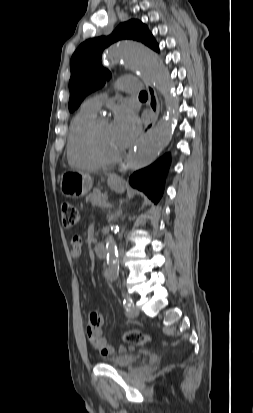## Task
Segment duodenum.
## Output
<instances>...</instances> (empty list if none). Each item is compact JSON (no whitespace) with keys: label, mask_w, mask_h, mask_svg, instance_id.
Here are the masks:
<instances>
[{"label":"duodenum","mask_w":253,"mask_h":413,"mask_svg":"<svg viewBox=\"0 0 253 413\" xmlns=\"http://www.w3.org/2000/svg\"><path fill=\"white\" fill-rule=\"evenodd\" d=\"M94 251L95 254L99 257V258H104L106 255V249H105V245L104 243L100 242L97 243L94 247Z\"/></svg>","instance_id":"410a0bca"}]
</instances>
